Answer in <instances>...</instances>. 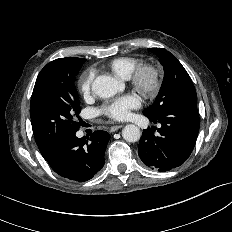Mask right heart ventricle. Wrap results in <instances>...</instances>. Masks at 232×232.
I'll list each match as a JSON object with an SVG mask.
<instances>
[{"label":"right heart ventricle","mask_w":232,"mask_h":232,"mask_svg":"<svg viewBox=\"0 0 232 232\" xmlns=\"http://www.w3.org/2000/svg\"><path fill=\"white\" fill-rule=\"evenodd\" d=\"M140 65V60L132 56H122L108 63V68L117 77L127 79Z\"/></svg>","instance_id":"e07e8e85"}]
</instances>
